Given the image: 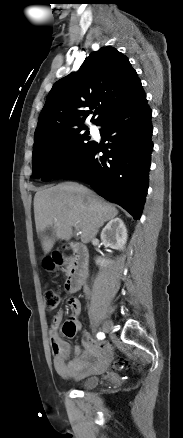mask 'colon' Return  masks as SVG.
<instances>
[{"label":"colon","instance_id":"1","mask_svg":"<svg viewBox=\"0 0 183 438\" xmlns=\"http://www.w3.org/2000/svg\"><path fill=\"white\" fill-rule=\"evenodd\" d=\"M64 256L62 254H54L53 256L47 258L44 261V267L48 270H54L57 267L61 266L64 263ZM60 298L59 295L52 291V290H46L44 292V306L46 310L53 311L57 308L59 305ZM76 333L75 325L72 322L66 321L63 325V334L66 337H73ZM114 366L116 368H122L124 366L123 359H119L114 363Z\"/></svg>","mask_w":183,"mask_h":438}]
</instances>
